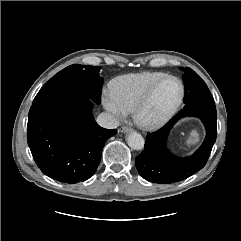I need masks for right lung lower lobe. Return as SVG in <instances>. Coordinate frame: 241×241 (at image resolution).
I'll list each match as a JSON object with an SVG mask.
<instances>
[{"instance_id":"right-lung-lower-lobe-1","label":"right lung lower lobe","mask_w":241,"mask_h":241,"mask_svg":"<svg viewBox=\"0 0 241 241\" xmlns=\"http://www.w3.org/2000/svg\"><path fill=\"white\" fill-rule=\"evenodd\" d=\"M86 97L32 105L27 142L40 170L63 183L89 179L96 171L105 142L117 133L100 127Z\"/></svg>"}]
</instances>
